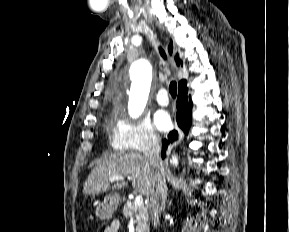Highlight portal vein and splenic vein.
I'll use <instances>...</instances> for the list:
<instances>
[{
    "label": "portal vein and splenic vein",
    "mask_w": 289,
    "mask_h": 232,
    "mask_svg": "<svg viewBox=\"0 0 289 232\" xmlns=\"http://www.w3.org/2000/svg\"><path fill=\"white\" fill-rule=\"evenodd\" d=\"M122 180H124V176H121V175H116V176L109 177V181L110 182L122 181ZM134 204L136 206L143 205V197H142V195H137L135 197Z\"/></svg>",
    "instance_id": "18ae733b"
}]
</instances>
